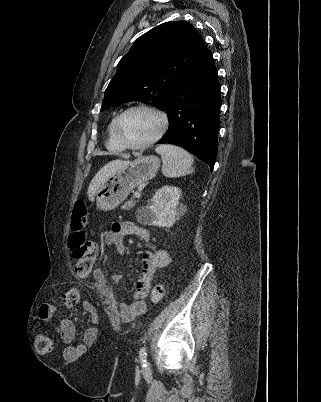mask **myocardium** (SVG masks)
<instances>
[{"instance_id": "1", "label": "myocardium", "mask_w": 321, "mask_h": 402, "mask_svg": "<svg viewBox=\"0 0 321 402\" xmlns=\"http://www.w3.org/2000/svg\"><path fill=\"white\" fill-rule=\"evenodd\" d=\"M135 110L149 111V112L155 114L160 120V128H159L158 132L156 133V135L141 144L128 143L122 137L121 132H120V126H121L122 119L125 117L126 114H128L129 112L135 111ZM168 126H169V119L163 110L159 109L158 107L149 105V104H135V105H131V106L125 108L122 112H120L117 115L115 122H114V133H115L116 139L118 140V142L124 149L144 150V149L152 146L153 144H155L157 141H159L162 138V136L166 133Z\"/></svg>"}]
</instances>
